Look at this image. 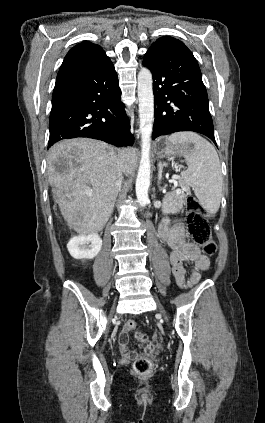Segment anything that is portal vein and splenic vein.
<instances>
[{
    "label": "portal vein and splenic vein",
    "mask_w": 265,
    "mask_h": 423,
    "mask_svg": "<svg viewBox=\"0 0 265 423\" xmlns=\"http://www.w3.org/2000/svg\"><path fill=\"white\" fill-rule=\"evenodd\" d=\"M176 192H177V193H181V190H180V189H177V190H176Z\"/></svg>",
    "instance_id": "18ae733b"
}]
</instances>
